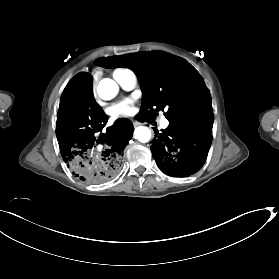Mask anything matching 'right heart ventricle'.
I'll list each match as a JSON object with an SVG mask.
<instances>
[{"instance_id":"obj_1","label":"right heart ventricle","mask_w":279,"mask_h":279,"mask_svg":"<svg viewBox=\"0 0 279 279\" xmlns=\"http://www.w3.org/2000/svg\"><path fill=\"white\" fill-rule=\"evenodd\" d=\"M115 71H119L121 74H123V75H126V74H128V73H133L132 71H130V70H128V69H122V68H120V69H116ZM116 80V79H115ZM116 82L118 83V81L116 80ZM119 84V83H118Z\"/></svg>"}]
</instances>
